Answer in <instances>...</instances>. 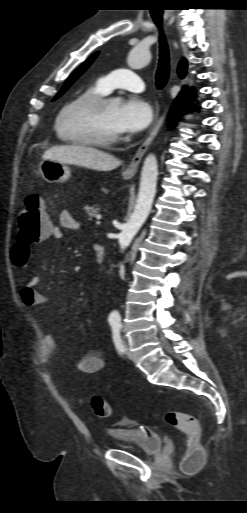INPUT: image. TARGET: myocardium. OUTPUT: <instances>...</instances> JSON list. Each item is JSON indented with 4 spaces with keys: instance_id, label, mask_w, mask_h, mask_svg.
<instances>
[{
    "instance_id": "1",
    "label": "myocardium",
    "mask_w": 247,
    "mask_h": 513,
    "mask_svg": "<svg viewBox=\"0 0 247 513\" xmlns=\"http://www.w3.org/2000/svg\"><path fill=\"white\" fill-rule=\"evenodd\" d=\"M113 101V99L106 95H87L81 98H78L66 106H64L56 120V128L59 133L65 134L69 139H71L74 143L92 145V146H100V147H108L115 145L119 141V136L103 138V137H95L91 135H68L66 134L63 126V121L65 116L72 110H83L86 112H94L102 108L107 103Z\"/></svg>"
}]
</instances>
